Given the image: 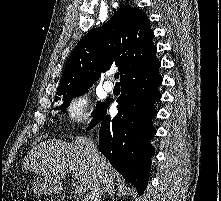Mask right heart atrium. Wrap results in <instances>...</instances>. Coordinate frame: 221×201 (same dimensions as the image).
Masks as SVG:
<instances>
[{
    "label": "right heart atrium",
    "mask_w": 221,
    "mask_h": 201,
    "mask_svg": "<svg viewBox=\"0 0 221 201\" xmlns=\"http://www.w3.org/2000/svg\"><path fill=\"white\" fill-rule=\"evenodd\" d=\"M66 116L74 124L88 123L91 120L88 96L83 94L74 96L66 107Z\"/></svg>",
    "instance_id": "obj_1"
}]
</instances>
